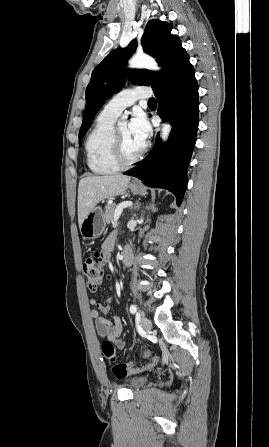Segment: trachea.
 <instances>
[{
  "instance_id": "obj_1",
  "label": "trachea",
  "mask_w": 269,
  "mask_h": 447,
  "mask_svg": "<svg viewBox=\"0 0 269 447\" xmlns=\"http://www.w3.org/2000/svg\"><path fill=\"white\" fill-rule=\"evenodd\" d=\"M149 105H157L156 100L154 98H150Z\"/></svg>"
}]
</instances>
